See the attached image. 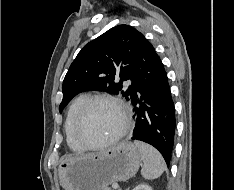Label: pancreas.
Masks as SVG:
<instances>
[{"mask_svg":"<svg viewBox=\"0 0 234 190\" xmlns=\"http://www.w3.org/2000/svg\"><path fill=\"white\" fill-rule=\"evenodd\" d=\"M105 190H111L110 188H106Z\"/></svg>","mask_w":234,"mask_h":190,"instance_id":"obj_1","label":"pancreas"}]
</instances>
